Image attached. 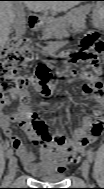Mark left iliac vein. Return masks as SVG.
I'll use <instances>...</instances> for the list:
<instances>
[{
	"label": "left iliac vein",
	"instance_id": "4c4485c4",
	"mask_svg": "<svg viewBox=\"0 0 104 189\" xmlns=\"http://www.w3.org/2000/svg\"><path fill=\"white\" fill-rule=\"evenodd\" d=\"M81 174L83 178L88 182V175H89V162L88 160H84L81 165Z\"/></svg>",
	"mask_w": 104,
	"mask_h": 189
}]
</instances>
